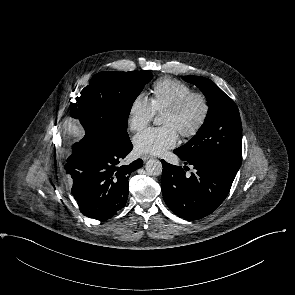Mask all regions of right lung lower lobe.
<instances>
[{
  "label": "right lung lower lobe",
  "instance_id": "obj_1",
  "mask_svg": "<svg viewBox=\"0 0 295 295\" xmlns=\"http://www.w3.org/2000/svg\"><path fill=\"white\" fill-rule=\"evenodd\" d=\"M132 148L130 139L115 144L93 133L85 134L73 145L64 168L83 215L102 222L125 206L129 176L143 165L141 159L129 165L119 164Z\"/></svg>",
  "mask_w": 295,
  "mask_h": 295
}]
</instances>
